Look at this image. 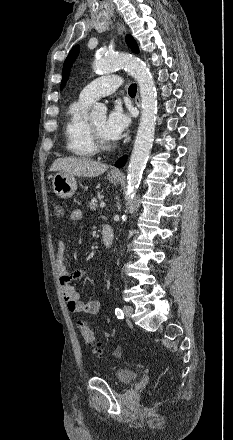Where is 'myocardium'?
<instances>
[{
    "label": "myocardium",
    "mask_w": 233,
    "mask_h": 440,
    "mask_svg": "<svg viewBox=\"0 0 233 440\" xmlns=\"http://www.w3.org/2000/svg\"><path fill=\"white\" fill-rule=\"evenodd\" d=\"M88 129L97 150H110L114 147L112 140L104 138L94 127L91 121L88 122Z\"/></svg>",
    "instance_id": "obj_1"
}]
</instances>
